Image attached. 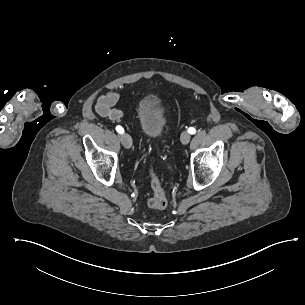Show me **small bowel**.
Masks as SVG:
<instances>
[{"mask_svg": "<svg viewBox=\"0 0 305 305\" xmlns=\"http://www.w3.org/2000/svg\"><path fill=\"white\" fill-rule=\"evenodd\" d=\"M120 95L116 91H110L102 94L96 101L95 111L98 115L117 121L123 117V111L114 108L118 102Z\"/></svg>", "mask_w": 305, "mask_h": 305, "instance_id": "c3829d8e", "label": "small bowel"}]
</instances>
